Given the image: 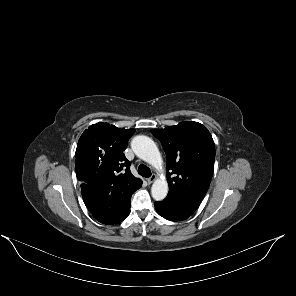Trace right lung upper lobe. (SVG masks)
<instances>
[{
  "mask_svg": "<svg viewBox=\"0 0 296 296\" xmlns=\"http://www.w3.org/2000/svg\"><path fill=\"white\" fill-rule=\"evenodd\" d=\"M134 132L107 123L91 125L83 132L75 153L81 192L115 194L142 185V180L132 175L123 153Z\"/></svg>",
  "mask_w": 296,
  "mask_h": 296,
  "instance_id": "cb5924a9",
  "label": "right lung upper lobe"
}]
</instances>
